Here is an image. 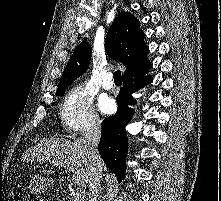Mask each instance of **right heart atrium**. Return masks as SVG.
<instances>
[{
  "label": "right heart atrium",
  "mask_w": 221,
  "mask_h": 201,
  "mask_svg": "<svg viewBox=\"0 0 221 201\" xmlns=\"http://www.w3.org/2000/svg\"><path fill=\"white\" fill-rule=\"evenodd\" d=\"M60 119L63 128L71 134L99 127L101 121L95 109L92 94L83 84L74 85L65 94Z\"/></svg>",
  "instance_id": "right-heart-atrium-1"
}]
</instances>
